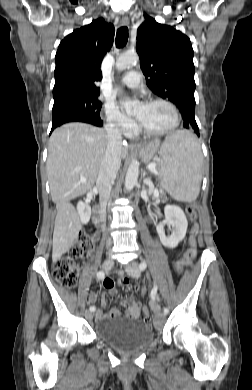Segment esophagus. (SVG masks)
Returning a JSON list of instances; mask_svg holds the SVG:
<instances>
[{
	"mask_svg": "<svg viewBox=\"0 0 252 390\" xmlns=\"http://www.w3.org/2000/svg\"><path fill=\"white\" fill-rule=\"evenodd\" d=\"M120 23L122 26H128L129 25V19L128 17H122L120 20ZM130 147L134 148L135 145H131Z\"/></svg>",
	"mask_w": 252,
	"mask_h": 390,
	"instance_id": "1",
	"label": "esophagus"
}]
</instances>
